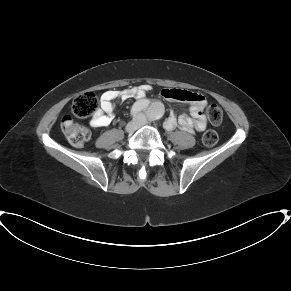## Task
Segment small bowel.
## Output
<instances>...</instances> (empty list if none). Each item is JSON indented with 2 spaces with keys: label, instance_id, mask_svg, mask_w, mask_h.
<instances>
[{
  "label": "small bowel",
  "instance_id": "1",
  "mask_svg": "<svg viewBox=\"0 0 291 291\" xmlns=\"http://www.w3.org/2000/svg\"><path fill=\"white\" fill-rule=\"evenodd\" d=\"M151 85L143 84L122 91H106L101 96V109L91 118L89 125L94 128L109 127L113 120L114 101H125L135 97L137 102L135 108L140 110L148 107V101L145 99L146 94L151 90ZM160 96L166 100H181L189 102L191 117L183 114L178 118L171 112L164 122V127L172 131L177 127L189 133L202 132L207 127V116L204 107L206 105L205 97L197 92L187 90L163 88L160 90ZM158 106V105H156Z\"/></svg>",
  "mask_w": 291,
  "mask_h": 291
}]
</instances>
